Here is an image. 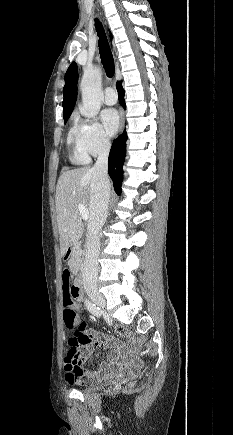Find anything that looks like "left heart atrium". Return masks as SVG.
<instances>
[{
    "instance_id": "obj_1",
    "label": "left heart atrium",
    "mask_w": 233,
    "mask_h": 435,
    "mask_svg": "<svg viewBox=\"0 0 233 435\" xmlns=\"http://www.w3.org/2000/svg\"><path fill=\"white\" fill-rule=\"evenodd\" d=\"M102 124L109 135L117 132L120 125V118L118 112L113 108L105 109L100 115Z\"/></svg>"
}]
</instances>
